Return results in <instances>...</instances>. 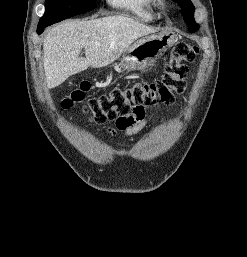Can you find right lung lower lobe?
<instances>
[{
	"label": "right lung lower lobe",
	"mask_w": 247,
	"mask_h": 257,
	"mask_svg": "<svg viewBox=\"0 0 247 257\" xmlns=\"http://www.w3.org/2000/svg\"><path fill=\"white\" fill-rule=\"evenodd\" d=\"M49 25L45 24V25H38L37 27V33L41 34L44 31V28L47 27Z\"/></svg>",
	"instance_id": "98d812e1"
}]
</instances>
